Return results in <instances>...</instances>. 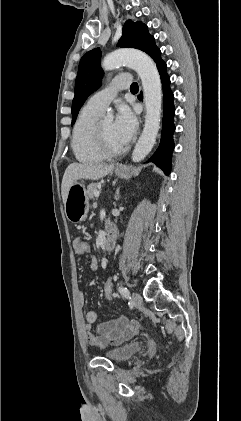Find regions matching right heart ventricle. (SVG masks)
I'll return each instance as SVG.
<instances>
[{
	"instance_id": "1",
	"label": "right heart ventricle",
	"mask_w": 241,
	"mask_h": 421,
	"mask_svg": "<svg viewBox=\"0 0 241 421\" xmlns=\"http://www.w3.org/2000/svg\"><path fill=\"white\" fill-rule=\"evenodd\" d=\"M100 112L87 105L80 111L73 128L71 148L75 158L82 163L102 162L106 157L96 142V127Z\"/></svg>"
}]
</instances>
